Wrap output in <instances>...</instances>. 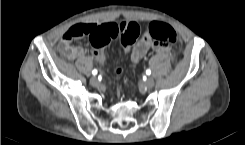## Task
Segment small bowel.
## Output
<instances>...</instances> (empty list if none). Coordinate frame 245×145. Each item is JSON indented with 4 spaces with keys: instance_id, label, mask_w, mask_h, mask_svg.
Here are the masks:
<instances>
[{
    "instance_id": "obj_1",
    "label": "small bowel",
    "mask_w": 245,
    "mask_h": 145,
    "mask_svg": "<svg viewBox=\"0 0 245 145\" xmlns=\"http://www.w3.org/2000/svg\"><path fill=\"white\" fill-rule=\"evenodd\" d=\"M130 22V21H126ZM120 23L116 22H102V23H90L94 30L97 31L93 42V47L90 50L83 48L82 46L72 45L68 40H61L58 45L59 52L67 59L73 60L81 55L90 53L93 57L99 61L103 60L104 52L103 48L110 42L109 31L111 27H117ZM151 49H155L157 52H166L168 49L159 43H153L148 41L138 42L131 52V59L134 62L140 61Z\"/></svg>"
}]
</instances>
